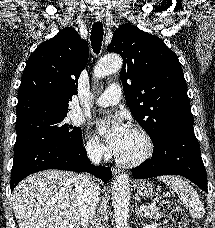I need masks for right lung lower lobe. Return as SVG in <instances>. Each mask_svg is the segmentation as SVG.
<instances>
[{
  "mask_svg": "<svg viewBox=\"0 0 215 228\" xmlns=\"http://www.w3.org/2000/svg\"><path fill=\"white\" fill-rule=\"evenodd\" d=\"M46 169L89 172L103 181L111 178V169L92 165L82 145L45 142L14 153L10 181L11 192L28 175Z\"/></svg>",
  "mask_w": 215,
  "mask_h": 228,
  "instance_id": "obj_1",
  "label": "right lung lower lobe"
}]
</instances>
